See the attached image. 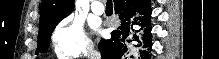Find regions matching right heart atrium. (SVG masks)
<instances>
[{
	"label": "right heart atrium",
	"mask_w": 219,
	"mask_h": 59,
	"mask_svg": "<svg viewBox=\"0 0 219 59\" xmlns=\"http://www.w3.org/2000/svg\"><path fill=\"white\" fill-rule=\"evenodd\" d=\"M54 53L61 59H73L89 54L92 43L82 23L73 16L62 19L51 34Z\"/></svg>",
	"instance_id": "obj_1"
}]
</instances>
